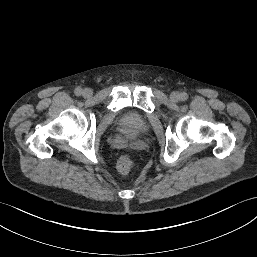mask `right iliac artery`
Here are the masks:
<instances>
[{
	"label": "right iliac artery",
	"mask_w": 257,
	"mask_h": 257,
	"mask_svg": "<svg viewBox=\"0 0 257 257\" xmlns=\"http://www.w3.org/2000/svg\"><path fill=\"white\" fill-rule=\"evenodd\" d=\"M74 92H75V94H76L77 96H80V95L82 94V89L78 87V88L75 89Z\"/></svg>",
	"instance_id": "82829eb1"
}]
</instances>
